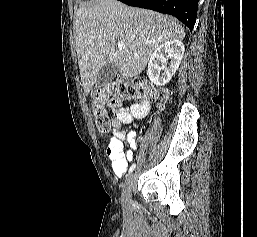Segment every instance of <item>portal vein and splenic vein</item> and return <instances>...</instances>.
Instances as JSON below:
<instances>
[{
	"mask_svg": "<svg viewBox=\"0 0 257 237\" xmlns=\"http://www.w3.org/2000/svg\"><path fill=\"white\" fill-rule=\"evenodd\" d=\"M117 48H118L119 50L124 49V48H125V44H124V42L119 41V42H118V44H117Z\"/></svg>",
	"mask_w": 257,
	"mask_h": 237,
	"instance_id": "18ae733b",
	"label": "portal vein and splenic vein"
}]
</instances>
